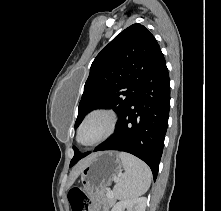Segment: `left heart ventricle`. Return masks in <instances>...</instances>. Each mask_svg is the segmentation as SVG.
<instances>
[{
	"mask_svg": "<svg viewBox=\"0 0 221 211\" xmlns=\"http://www.w3.org/2000/svg\"><path fill=\"white\" fill-rule=\"evenodd\" d=\"M106 122L101 117H96L90 120L81 132V141L83 143H90L96 140L104 132Z\"/></svg>",
	"mask_w": 221,
	"mask_h": 211,
	"instance_id": "obj_1",
	"label": "left heart ventricle"
}]
</instances>
